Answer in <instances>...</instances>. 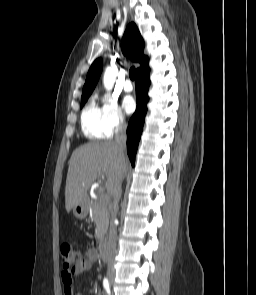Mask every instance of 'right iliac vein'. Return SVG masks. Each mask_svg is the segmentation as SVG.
<instances>
[{"label":"right iliac vein","instance_id":"right-iliac-vein-1","mask_svg":"<svg viewBox=\"0 0 256 295\" xmlns=\"http://www.w3.org/2000/svg\"><path fill=\"white\" fill-rule=\"evenodd\" d=\"M114 278H115V276H114L113 273H109V274H108V279H109V281H110L111 284H113V282H114Z\"/></svg>","mask_w":256,"mask_h":295}]
</instances>
